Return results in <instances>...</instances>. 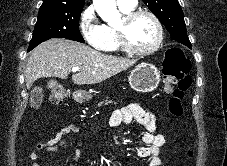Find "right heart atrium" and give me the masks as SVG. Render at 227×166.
Segmentation results:
<instances>
[{
	"instance_id": "obj_1",
	"label": "right heart atrium",
	"mask_w": 227,
	"mask_h": 166,
	"mask_svg": "<svg viewBox=\"0 0 227 166\" xmlns=\"http://www.w3.org/2000/svg\"><path fill=\"white\" fill-rule=\"evenodd\" d=\"M79 29L85 41L97 49H102L106 35L104 25L97 17L93 5L87 6L79 18Z\"/></svg>"
}]
</instances>
